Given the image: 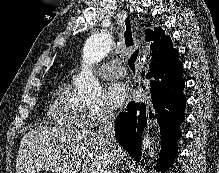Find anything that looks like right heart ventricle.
I'll return each mask as SVG.
<instances>
[{"mask_svg":"<svg viewBox=\"0 0 219 173\" xmlns=\"http://www.w3.org/2000/svg\"><path fill=\"white\" fill-rule=\"evenodd\" d=\"M50 122L64 129L84 128V112L71 100L70 88L61 84L56 88L48 109Z\"/></svg>","mask_w":219,"mask_h":173,"instance_id":"1","label":"right heart ventricle"}]
</instances>
